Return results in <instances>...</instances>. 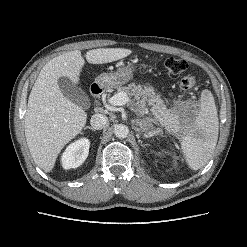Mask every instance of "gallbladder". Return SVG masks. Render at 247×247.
<instances>
[{
  "mask_svg": "<svg viewBox=\"0 0 247 247\" xmlns=\"http://www.w3.org/2000/svg\"><path fill=\"white\" fill-rule=\"evenodd\" d=\"M58 85L62 94L70 101L82 108H89L90 100L87 94L68 77H60L58 79Z\"/></svg>",
  "mask_w": 247,
  "mask_h": 247,
  "instance_id": "bac80fb5",
  "label": "gallbladder"
}]
</instances>
